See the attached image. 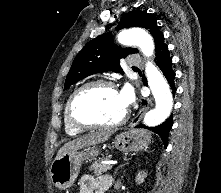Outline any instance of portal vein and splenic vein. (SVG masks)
Wrapping results in <instances>:
<instances>
[{
  "instance_id": "obj_1",
  "label": "portal vein and splenic vein",
  "mask_w": 221,
  "mask_h": 193,
  "mask_svg": "<svg viewBox=\"0 0 221 193\" xmlns=\"http://www.w3.org/2000/svg\"><path fill=\"white\" fill-rule=\"evenodd\" d=\"M112 166H113V163H108V164H107V170L112 169Z\"/></svg>"
}]
</instances>
